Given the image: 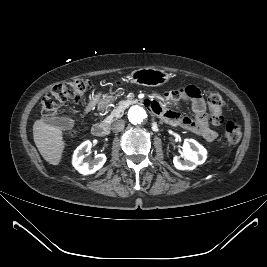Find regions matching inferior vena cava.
<instances>
[{
    "mask_svg": "<svg viewBox=\"0 0 267 267\" xmlns=\"http://www.w3.org/2000/svg\"><path fill=\"white\" fill-rule=\"evenodd\" d=\"M124 126H125V122H124V120L120 119V120L115 121V122L112 124L111 129H112L113 132L116 133V132H120V131H122V130L124 129Z\"/></svg>",
    "mask_w": 267,
    "mask_h": 267,
    "instance_id": "602c4592",
    "label": "inferior vena cava"
}]
</instances>
